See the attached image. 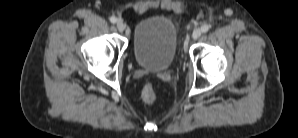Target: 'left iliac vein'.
Here are the masks:
<instances>
[{
	"label": "left iliac vein",
	"instance_id": "1",
	"mask_svg": "<svg viewBox=\"0 0 298 138\" xmlns=\"http://www.w3.org/2000/svg\"><path fill=\"white\" fill-rule=\"evenodd\" d=\"M201 34H202V31H201V29H195L194 31H193V33H192V38L193 39H197V38H199L200 36H201ZM187 44H188V41H186L185 42V47H187Z\"/></svg>",
	"mask_w": 298,
	"mask_h": 138
}]
</instances>
